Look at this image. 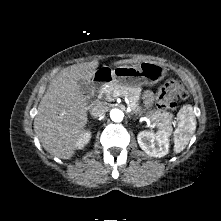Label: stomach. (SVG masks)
I'll return each instance as SVG.
<instances>
[{"label":"stomach","instance_id":"obj_1","mask_svg":"<svg viewBox=\"0 0 221 221\" xmlns=\"http://www.w3.org/2000/svg\"><path fill=\"white\" fill-rule=\"evenodd\" d=\"M167 68L158 62L142 61L136 65L117 66L112 71L114 81L130 88H140L143 85H154L163 80Z\"/></svg>","mask_w":221,"mask_h":221}]
</instances>
